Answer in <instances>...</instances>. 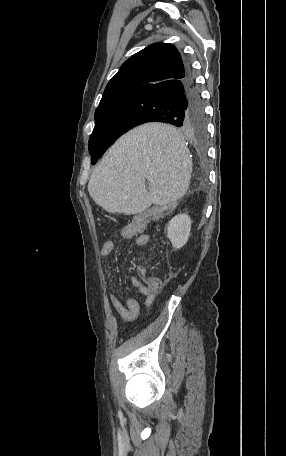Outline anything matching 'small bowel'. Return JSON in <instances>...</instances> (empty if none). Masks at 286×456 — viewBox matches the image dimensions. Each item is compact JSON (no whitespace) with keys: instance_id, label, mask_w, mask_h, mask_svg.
<instances>
[{"instance_id":"c3829d8e","label":"small bowel","mask_w":286,"mask_h":456,"mask_svg":"<svg viewBox=\"0 0 286 456\" xmlns=\"http://www.w3.org/2000/svg\"><path fill=\"white\" fill-rule=\"evenodd\" d=\"M121 236L124 239H129L132 236H129L121 232ZM149 236L147 234H140L135 238V244L138 247H145L148 244ZM115 242L114 241H105L102 244L100 253L102 257H109L115 250ZM132 284L134 287L137 288L138 292L144 297V306L146 309L151 308L156 298V291L150 290L145 284L138 283L135 279V276L132 277ZM110 303L117 313V315L123 321H131L137 318L140 312V303L135 298H127L125 302H122L115 294H110L109 296Z\"/></svg>"}]
</instances>
